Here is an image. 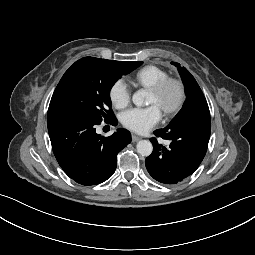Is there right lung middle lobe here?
I'll use <instances>...</instances> for the list:
<instances>
[{"label": "right lung middle lobe", "mask_w": 255, "mask_h": 255, "mask_svg": "<svg viewBox=\"0 0 255 255\" xmlns=\"http://www.w3.org/2000/svg\"><path fill=\"white\" fill-rule=\"evenodd\" d=\"M143 62L84 57L63 75L50 101L48 116L70 114L92 120H111L110 90L121 76Z\"/></svg>", "instance_id": "1"}]
</instances>
